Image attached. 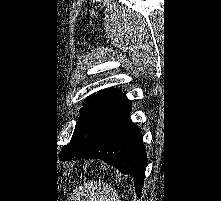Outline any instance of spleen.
Returning <instances> with one entry per match:
<instances>
[{"mask_svg":"<svg viewBox=\"0 0 221 201\" xmlns=\"http://www.w3.org/2000/svg\"><path fill=\"white\" fill-rule=\"evenodd\" d=\"M74 201H120L116 190L108 184L91 181L74 192Z\"/></svg>","mask_w":221,"mask_h":201,"instance_id":"obj_1","label":"spleen"}]
</instances>
